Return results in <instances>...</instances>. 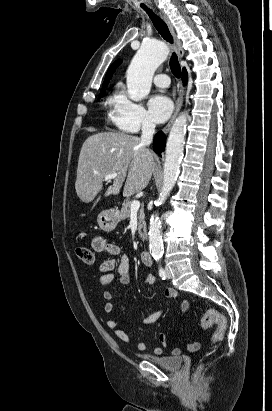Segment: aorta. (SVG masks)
<instances>
[{"label":"aorta","mask_w":272,"mask_h":411,"mask_svg":"<svg viewBox=\"0 0 272 411\" xmlns=\"http://www.w3.org/2000/svg\"><path fill=\"white\" fill-rule=\"evenodd\" d=\"M167 55L168 47L163 42L152 41L142 44L126 73L130 99L138 102L149 94L154 72L166 60ZM186 126L187 117L181 114L170 130L166 144L163 186L157 199L159 204L166 201L177 180L183 158ZM148 238L150 252L155 260H159L163 255V242L161 221L156 214H152L150 218Z\"/></svg>","instance_id":"1"}]
</instances>
